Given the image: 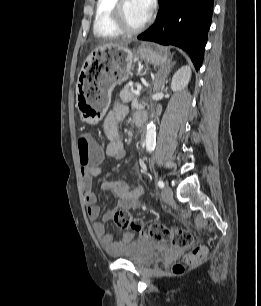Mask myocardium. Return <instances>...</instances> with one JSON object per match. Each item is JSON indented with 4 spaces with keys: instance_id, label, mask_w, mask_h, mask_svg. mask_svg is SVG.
Segmentation results:
<instances>
[{
    "instance_id": "1",
    "label": "myocardium",
    "mask_w": 261,
    "mask_h": 306,
    "mask_svg": "<svg viewBox=\"0 0 261 306\" xmlns=\"http://www.w3.org/2000/svg\"><path fill=\"white\" fill-rule=\"evenodd\" d=\"M126 0H117L113 8L114 22L116 26L124 34H137L142 32L148 26L150 18L147 17L146 20L139 26H132L128 23L125 12H124V3Z\"/></svg>"
}]
</instances>
